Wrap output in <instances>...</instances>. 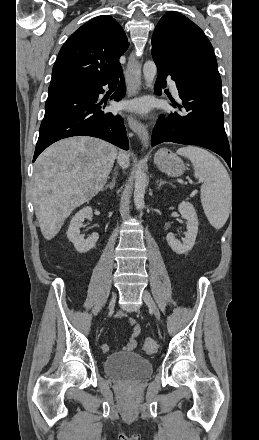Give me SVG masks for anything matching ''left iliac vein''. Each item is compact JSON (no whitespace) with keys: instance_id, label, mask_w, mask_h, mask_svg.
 <instances>
[{"instance_id":"1","label":"left iliac vein","mask_w":259,"mask_h":440,"mask_svg":"<svg viewBox=\"0 0 259 440\" xmlns=\"http://www.w3.org/2000/svg\"><path fill=\"white\" fill-rule=\"evenodd\" d=\"M142 298H143L144 302L146 303L147 307L149 308V310L155 315L157 320H160L159 309H158L156 303L154 302L151 294L147 290H144L142 293Z\"/></svg>"}]
</instances>
